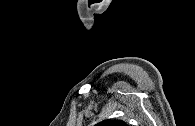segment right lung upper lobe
Masks as SVG:
<instances>
[{
  "instance_id": "right-lung-upper-lobe-1",
  "label": "right lung upper lobe",
  "mask_w": 195,
  "mask_h": 126,
  "mask_svg": "<svg viewBox=\"0 0 195 126\" xmlns=\"http://www.w3.org/2000/svg\"><path fill=\"white\" fill-rule=\"evenodd\" d=\"M95 126H127L125 122L121 120H104Z\"/></svg>"
}]
</instances>
